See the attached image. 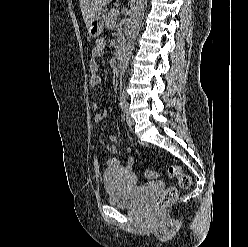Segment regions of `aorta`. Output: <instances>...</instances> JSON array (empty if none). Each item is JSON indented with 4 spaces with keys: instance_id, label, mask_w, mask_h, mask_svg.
<instances>
[{
    "instance_id": "1",
    "label": "aorta",
    "mask_w": 248,
    "mask_h": 247,
    "mask_svg": "<svg viewBox=\"0 0 248 247\" xmlns=\"http://www.w3.org/2000/svg\"><path fill=\"white\" fill-rule=\"evenodd\" d=\"M134 5L132 7V15L130 21V30L127 38L126 53L124 55L123 64L121 66V78H124L128 63L134 49L135 40L138 35L139 28L141 26L142 18L145 11V5L147 0H133Z\"/></svg>"
}]
</instances>
